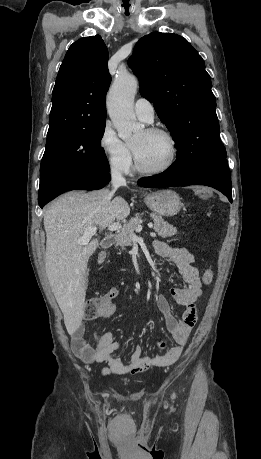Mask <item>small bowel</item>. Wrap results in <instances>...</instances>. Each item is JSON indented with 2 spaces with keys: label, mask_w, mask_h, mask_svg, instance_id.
Instances as JSON below:
<instances>
[{
  "label": "small bowel",
  "mask_w": 261,
  "mask_h": 459,
  "mask_svg": "<svg viewBox=\"0 0 261 459\" xmlns=\"http://www.w3.org/2000/svg\"><path fill=\"white\" fill-rule=\"evenodd\" d=\"M153 248L158 255L168 258L177 267L184 282L182 287L169 290L172 299L185 307L180 319L173 315L170 303L163 295H159L156 299L157 307L165 318L173 345L166 349V343L159 341L163 352L154 355L144 354L142 347L137 345L130 358L124 361L114 355L120 343L112 332H97L94 336V343L90 344L84 338L83 324L77 323L71 326L68 332L71 336V347L74 354L87 364H107L102 369L104 376L136 374L152 366L164 367L174 364L182 355L197 321L196 302L202 293V287L199 271L194 266V254L185 248L172 247L162 241H155ZM108 292L112 294V298L108 305L101 309L99 317H108L115 311L113 300L118 296L119 290L113 287Z\"/></svg>",
  "instance_id": "small-bowel-1"
}]
</instances>
